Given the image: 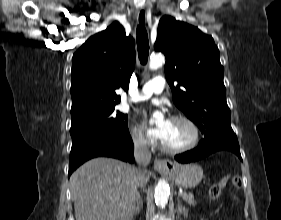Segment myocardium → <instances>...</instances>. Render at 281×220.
<instances>
[{
	"mask_svg": "<svg viewBox=\"0 0 281 220\" xmlns=\"http://www.w3.org/2000/svg\"><path fill=\"white\" fill-rule=\"evenodd\" d=\"M171 120L181 121V122L186 123L192 131V138L189 143H187L184 146L177 147V148L167 147L161 142V144H160L161 149L164 152L169 153V154H179V153H184V152H187V151L195 148L200 139V131H199L198 125L191 118H189L188 116H185V115L172 116Z\"/></svg>",
	"mask_w": 281,
	"mask_h": 220,
	"instance_id": "myocardium-1",
	"label": "myocardium"
}]
</instances>
